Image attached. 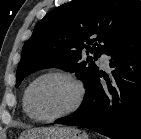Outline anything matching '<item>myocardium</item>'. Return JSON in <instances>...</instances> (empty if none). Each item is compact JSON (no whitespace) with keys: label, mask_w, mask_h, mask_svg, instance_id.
Listing matches in <instances>:
<instances>
[{"label":"myocardium","mask_w":141,"mask_h":139,"mask_svg":"<svg viewBox=\"0 0 141 139\" xmlns=\"http://www.w3.org/2000/svg\"><path fill=\"white\" fill-rule=\"evenodd\" d=\"M47 77H62L67 80H69L75 87L76 89V97L74 102L64 111L60 112L59 114H56L52 117H47V118H42L36 116L30 106V95L31 91L34 88V86L42 79L47 78ZM86 96V88L83 83V81L76 76L75 74L63 70H51L47 71L45 73H42L41 75L37 76L27 87L25 94H24V106L25 110L30 118L37 122H42V123H49L56 121L58 119L64 118L66 116H69L76 112L83 104Z\"/></svg>","instance_id":"obj_1"}]
</instances>
